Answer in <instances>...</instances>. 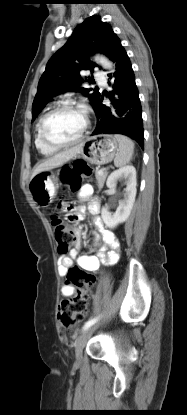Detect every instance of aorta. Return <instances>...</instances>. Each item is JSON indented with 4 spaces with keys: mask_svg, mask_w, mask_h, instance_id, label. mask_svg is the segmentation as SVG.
<instances>
[{
    "mask_svg": "<svg viewBox=\"0 0 187 415\" xmlns=\"http://www.w3.org/2000/svg\"><path fill=\"white\" fill-rule=\"evenodd\" d=\"M95 60L105 69L112 68V63L104 56H96Z\"/></svg>",
    "mask_w": 187,
    "mask_h": 415,
    "instance_id": "1",
    "label": "aorta"
}]
</instances>
